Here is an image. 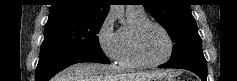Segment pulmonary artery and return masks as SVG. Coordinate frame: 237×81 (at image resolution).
Masks as SVG:
<instances>
[{
    "instance_id": "1",
    "label": "pulmonary artery",
    "mask_w": 237,
    "mask_h": 81,
    "mask_svg": "<svg viewBox=\"0 0 237 81\" xmlns=\"http://www.w3.org/2000/svg\"><path fill=\"white\" fill-rule=\"evenodd\" d=\"M127 9L137 12H144V9L141 6H128Z\"/></svg>"
}]
</instances>
